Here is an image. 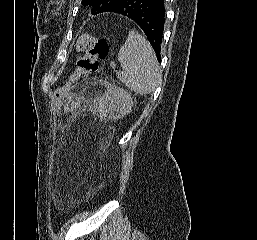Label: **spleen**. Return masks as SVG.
I'll return each mask as SVG.
<instances>
[{"label": "spleen", "instance_id": "obj_1", "mask_svg": "<svg viewBox=\"0 0 257 240\" xmlns=\"http://www.w3.org/2000/svg\"><path fill=\"white\" fill-rule=\"evenodd\" d=\"M122 72L117 78L137 94H150L158 86L161 73L156 55L148 41L137 31L131 30L118 53Z\"/></svg>", "mask_w": 257, "mask_h": 240}]
</instances>
